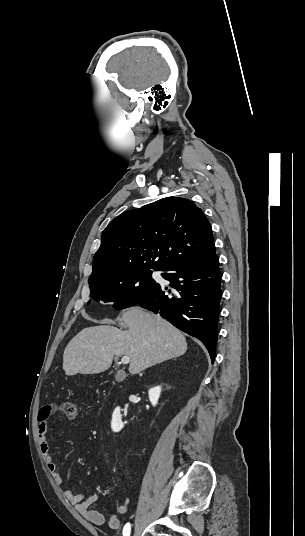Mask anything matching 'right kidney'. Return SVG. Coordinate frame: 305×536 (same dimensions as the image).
I'll return each mask as SVG.
<instances>
[{
    "label": "right kidney",
    "mask_w": 305,
    "mask_h": 536,
    "mask_svg": "<svg viewBox=\"0 0 305 536\" xmlns=\"http://www.w3.org/2000/svg\"><path fill=\"white\" fill-rule=\"evenodd\" d=\"M160 394H161V386H156V388H151V390H149V400L152 406H156V404H158ZM111 428L113 432H120V430L124 428V424L122 422V416L120 414V408H115L112 414Z\"/></svg>",
    "instance_id": "right-kidney-1"
}]
</instances>
